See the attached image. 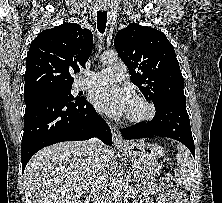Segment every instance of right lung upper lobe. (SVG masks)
Masks as SVG:
<instances>
[{"instance_id":"right-lung-upper-lobe-1","label":"right lung upper lobe","mask_w":222,"mask_h":203,"mask_svg":"<svg viewBox=\"0 0 222 203\" xmlns=\"http://www.w3.org/2000/svg\"><path fill=\"white\" fill-rule=\"evenodd\" d=\"M93 35L77 23H63L41 32L26 58L24 93L72 86L71 72L80 71L91 55Z\"/></svg>"}]
</instances>
